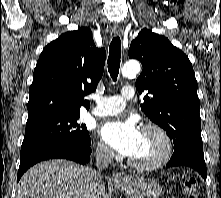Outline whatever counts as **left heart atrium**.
Returning <instances> with one entry per match:
<instances>
[{
  "mask_svg": "<svg viewBox=\"0 0 221 198\" xmlns=\"http://www.w3.org/2000/svg\"><path fill=\"white\" fill-rule=\"evenodd\" d=\"M99 133L106 143L125 156L132 155L141 137L133 119L106 122L101 126Z\"/></svg>",
  "mask_w": 221,
  "mask_h": 198,
  "instance_id": "39dd6f15",
  "label": "left heart atrium"
}]
</instances>
